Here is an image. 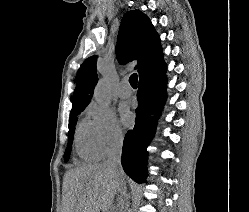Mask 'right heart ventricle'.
Masks as SVG:
<instances>
[{
    "label": "right heart ventricle",
    "mask_w": 249,
    "mask_h": 212,
    "mask_svg": "<svg viewBox=\"0 0 249 212\" xmlns=\"http://www.w3.org/2000/svg\"><path fill=\"white\" fill-rule=\"evenodd\" d=\"M91 125L86 121H81L75 130L74 147L77 155L84 160H96L97 154L92 143Z\"/></svg>",
    "instance_id": "obj_1"
}]
</instances>
